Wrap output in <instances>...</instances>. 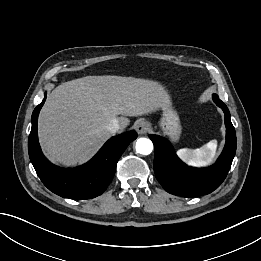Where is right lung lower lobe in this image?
I'll list each match as a JSON object with an SVG mask.
<instances>
[{
    "instance_id": "obj_1",
    "label": "right lung lower lobe",
    "mask_w": 261,
    "mask_h": 261,
    "mask_svg": "<svg viewBox=\"0 0 261 261\" xmlns=\"http://www.w3.org/2000/svg\"><path fill=\"white\" fill-rule=\"evenodd\" d=\"M45 100L46 94L33 111L28 139L29 157L37 175L50 191L64 198L85 200L101 195L114 177L120 156L130 142L137 138V133L129 131L112 137L82 166L71 169L57 167L44 157L38 142L37 121Z\"/></svg>"
}]
</instances>
